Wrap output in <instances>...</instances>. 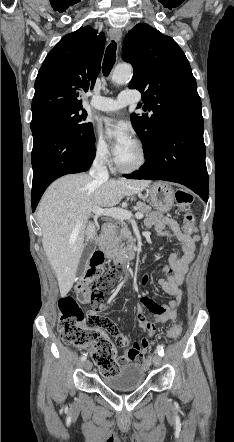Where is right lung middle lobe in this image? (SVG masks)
I'll list each match as a JSON object with an SVG mask.
<instances>
[{
	"mask_svg": "<svg viewBox=\"0 0 234 442\" xmlns=\"http://www.w3.org/2000/svg\"><path fill=\"white\" fill-rule=\"evenodd\" d=\"M52 127L61 129L82 141L92 138V123L87 121V112L79 108L52 109L37 115H33L31 130Z\"/></svg>",
	"mask_w": 234,
	"mask_h": 442,
	"instance_id": "dd1d6c3e",
	"label": "right lung middle lobe"
}]
</instances>
